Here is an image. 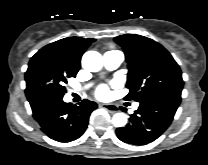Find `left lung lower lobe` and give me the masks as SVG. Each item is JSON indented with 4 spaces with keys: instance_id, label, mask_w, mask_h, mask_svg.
Listing matches in <instances>:
<instances>
[{
    "instance_id": "obj_1",
    "label": "left lung lower lobe",
    "mask_w": 208,
    "mask_h": 165,
    "mask_svg": "<svg viewBox=\"0 0 208 165\" xmlns=\"http://www.w3.org/2000/svg\"><path fill=\"white\" fill-rule=\"evenodd\" d=\"M181 97L162 95L140 102L126 127L116 130L117 137L134 145H144L157 139L171 124Z\"/></svg>"
}]
</instances>
